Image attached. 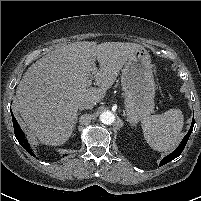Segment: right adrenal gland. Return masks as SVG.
<instances>
[{
	"instance_id": "right-adrenal-gland-1",
	"label": "right adrenal gland",
	"mask_w": 201,
	"mask_h": 201,
	"mask_svg": "<svg viewBox=\"0 0 201 201\" xmlns=\"http://www.w3.org/2000/svg\"><path fill=\"white\" fill-rule=\"evenodd\" d=\"M79 114H80V113H77V115H76L75 125H76V123H77V119H78ZM75 125H74V126H75Z\"/></svg>"
}]
</instances>
